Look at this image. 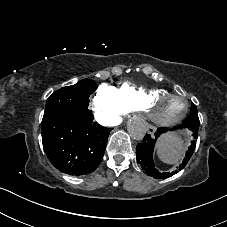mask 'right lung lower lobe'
Returning a JSON list of instances; mask_svg holds the SVG:
<instances>
[{
    "mask_svg": "<svg viewBox=\"0 0 227 227\" xmlns=\"http://www.w3.org/2000/svg\"><path fill=\"white\" fill-rule=\"evenodd\" d=\"M92 111H67L42 120L43 149L52 165L63 173L93 172L105 152L111 128L93 121Z\"/></svg>",
    "mask_w": 227,
    "mask_h": 227,
    "instance_id": "98d812e1",
    "label": "right lung lower lobe"
}]
</instances>
